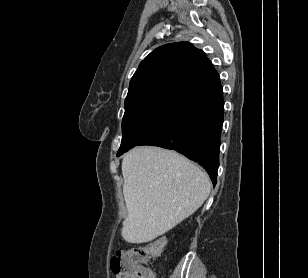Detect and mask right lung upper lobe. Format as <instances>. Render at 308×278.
<instances>
[{"label": "right lung upper lobe", "mask_w": 308, "mask_h": 278, "mask_svg": "<svg viewBox=\"0 0 308 278\" xmlns=\"http://www.w3.org/2000/svg\"><path fill=\"white\" fill-rule=\"evenodd\" d=\"M220 88L219 75L202 50L188 42L166 44L133 75L123 119L150 111L179 112Z\"/></svg>", "instance_id": "1"}]
</instances>
